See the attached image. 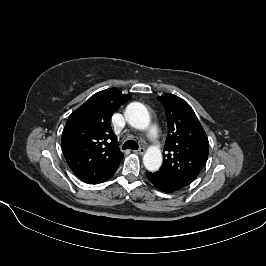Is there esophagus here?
Listing matches in <instances>:
<instances>
[{"instance_id":"obj_1","label":"esophagus","mask_w":266,"mask_h":266,"mask_svg":"<svg viewBox=\"0 0 266 266\" xmlns=\"http://www.w3.org/2000/svg\"><path fill=\"white\" fill-rule=\"evenodd\" d=\"M134 153L139 154V155H143L145 153V148L140 147L138 150H135Z\"/></svg>"}]
</instances>
